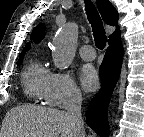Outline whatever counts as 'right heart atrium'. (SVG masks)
I'll return each mask as SVG.
<instances>
[{
  "mask_svg": "<svg viewBox=\"0 0 144 137\" xmlns=\"http://www.w3.org/2000/svg\"><path fill=\"white\" fill-rule=\"evenodd\" d=\"M80 99V90L69 72L51 74L44 97L48 105L64 108L79 102Z\"/></svg>",
  "mask_w": 144,
  "mask_h": 137,
  "instance_id": "right-heart-atrium-1",
  "label": "right heart atrium"
}]
</instances>
